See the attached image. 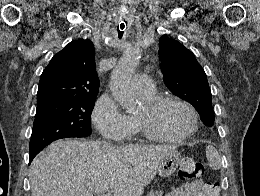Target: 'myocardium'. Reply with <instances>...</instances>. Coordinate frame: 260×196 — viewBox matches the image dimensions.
Returning <instances> with one entry per match:
<instances>
[{
  "label": "myocardium",
  "mask_w": 260,
  "mask_h": 196,
  "mask_svg": "<svg viewBox=\"0 0 260 196\" xmlns=\"http://www.w3.org/2000/svg\"><path fill=\"white\" fill-rule=\"evenodd\" d=\"M179 103L185 106L192 114L193 125L192 127L184 134L180 136H170L165 135L159 131L151 129L146 123H144L138 116L135 117L137 126L147 137L161 142H172V143H184L191 139V137L198 131L200 127V118L197 110L193 105H191L186 100L182 99L179 96L167 95V96H157L151 100L145 102L146 109L149 112H155L165 106L168 103ZM96 192V191H95Z\"/></svg>",
  "instance_id": "obj_1"
}]
</instances>
